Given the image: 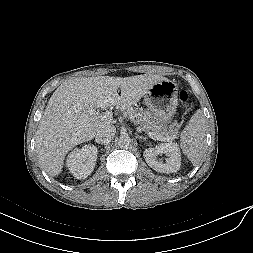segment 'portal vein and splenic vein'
Returning a JSON list of instances; mask_svg holds the SVG:
<instances>
[{"label":"portal vein and splenic vein","instance_id":"18ae733b","mask_svg":"<svg viewBox=\"0 0 253 253\" xmlns=\"http://www.w3.org/2000/svg\"><path fill=\"white\" fill-rule=\"evenodd\" d=\"M101 120H109L111 121L112 119V114L109 111H106L105 113H103L102 115L99 116ZM148 136L153 139V140H159V141H171L172 137L167 136V137H163V136H156L153 133L149 132L147 133Z\"/></svg>","mask_w":253,"mask_h":253}]
</instances>
